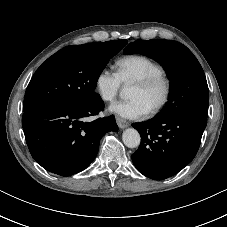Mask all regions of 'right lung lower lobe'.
Segmentation results:
<instances>
[{
	"instance_id": "right-lung-lower-lobe-1",
	"label": "right lung lower lobe",
	"mask_w": 227,
	"mask_h": 227,
	"mask_svg": "<svg viewBox=\"0 0 227 227\" xmlns=\"http://www.w3.org/2000/svg\"><path fill=\"white\" fill-rule=\"evenodd\" d=\"M103 109L98 98L83 104H44L24 111L22 126L32 157L44 169L61 176L87 168L98 153L101 138L118 129L113 115L83 121Z\"/></svg>"
}]
</instances>
